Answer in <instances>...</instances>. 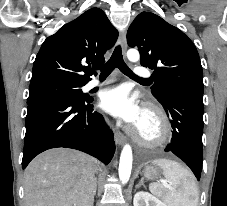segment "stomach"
Listing matches in <instances>:
<instances>
[{"label":"stomach","mask_w":227,"mask_h":206,"mask_svg":"<svg viewBox=\"0 0 227 206\" xmlns=\"http://www.w3.org/2000/svg\"><path fill=\"white\" fill-rule=\"evenodd\" d=\"M141 174L148 180H154L160 176V170L155 166L147 165Z\"/></svg>","instance_id":"stomach-1"}]
</instances>
